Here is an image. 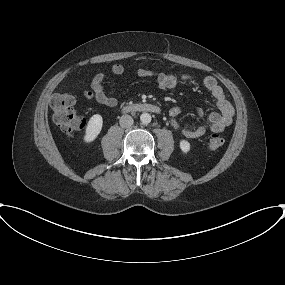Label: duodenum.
Segmentation results:
<instances>
[{"instance_id":"duodenum-1","label":"duodenum","mask_w":285,"mask_h":285,"mask_svg":"<svg viewBox=\"0 0 285 285\" xmlns=\"http://www.w3.org/2000/svg\"><path fill=\"white\" fill-rule=\"evenodd\" d=\"M125 110L129 111H138V112H149V113H159L160 108L151 103H138L131 105L129 107H126Z\"/></svg>"}]
</instances>
